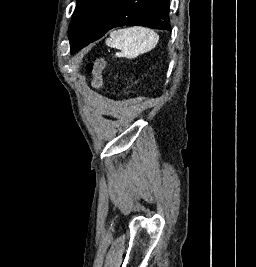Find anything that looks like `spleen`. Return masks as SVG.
Returning <instances> with one entry per match:
<instances>
[{
	"label": "spleen",
	"instance_id": "3e777b00",
	"mask_svg": "<svg viewBox=\"0 0 256 267\" xmlns=\"http://www.w3.org/2000/svg\"><path fill=\"white\" fill-rule=\"evenodd\" d=\"M159 40L158 34L150 28H124V30H114L110 38H107L106 44L109 48L121 50L117 56L123 58H137L140 54L150 52L157 46Z\"/></svg>",
	"mask_w": 256,
	"mask_h": 267
}]
</instances>
